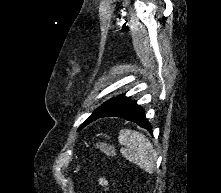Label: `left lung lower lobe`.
I'll return each mask as SVG.
<instances>
[{"label":"left lung lower lobe","mask_w":221,"mask_h":193,"mask_svg":"<svg viewBox=\"0 0 221 193\" xmlns=\"http://www.w3.org/2000/svg\"><path fill=\"white\" fill-rule=\"evenodd\" d=\"M106 116L121 117L135 122L152 133V127L142 108L137 105L136 101L129 100L124 94L117 97L98 118Z\"/></svg>","instance_id":"obj_1"}]
</instances>
